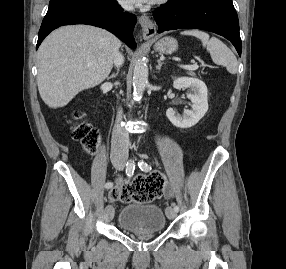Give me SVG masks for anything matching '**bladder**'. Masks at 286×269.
Here are the masks:
<instances>
[{
  "instance_id": "bladder-1",
  "label": "bladder",
  "mask_w": 286,
  "mask_h": 269,
  "mask_svg": "<svg viewBox=\"0 0 286 269\" xmlns=\"http://www.w3.org/2000/svg\"><path fill=\"white\" fill-rule=\"evenodd\" d=\"M118 225L130 233H159L166 229V214L158 205L128 203L119 212Z\"/></svg>"
}]
</instances>
